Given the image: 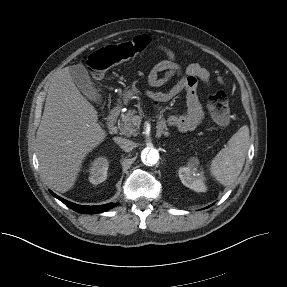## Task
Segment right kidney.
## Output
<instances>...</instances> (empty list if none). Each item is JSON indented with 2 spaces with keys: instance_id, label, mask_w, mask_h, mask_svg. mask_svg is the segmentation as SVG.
Wrapping results in <instances>:
<instances>
[{
  "instance_id": "right-kidney-1",
  "label": "right kidney",
  "mask_w": 287,
  "mask_h": 287,
  "mask_svg": "<svg viewBox=\"0 0 287 287\" xmlns=\"http://www.w3.org/2000/svg\"><path fill=\"white\" fill-rule=\"evenodd\" d=\"M109 162L105 157L96 158L89 167V181L92 184H100L107 178Z\"/></svg>"
}]
</instances>
